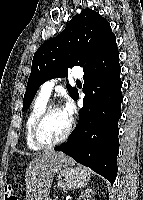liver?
I'll return each instance as SVG.
<instances>
[{
    "label": "liver",
    "instance_id": "obj_1",
    "mask_svg": "<svg viewBox=\"0 0 143 200\" xmlns=\"http://www.w3.org/2000/svg\"><path fill=\"white\" fill-rule=\"evenodd\" d=\"M75 161L62 152L45 151L28 165L25 174L26 200H46L53 178L66 165Z\"/></svg>",
    "mask_w": 143,
    "mask_h": 200
}]
</instances>
